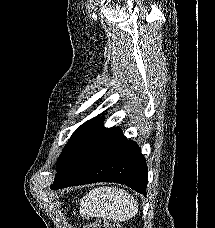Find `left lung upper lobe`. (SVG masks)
<instances>
[{
    "label": "left lung upper lobe",
    "instance_id": "obj_1",
    "mask_svg": "<svg viewBox=\"0 0 215 228\" xmlns=\"http://www.w3.org/2000/svg\"><path fill=\"white\" fill-rule=\"evenodd\" d=\"M103 122V118H93L79 128L71 136L69 142L65 146L60 155V158L56 165V172L58 173L66 161L70 158L73 152L80 146V144L93 132L95 131ZM56 173V174H57Z\"/></svg>",
    "mask_w": 215,
    "mask_h": 228
}]
</instances>
